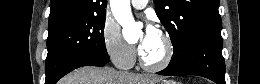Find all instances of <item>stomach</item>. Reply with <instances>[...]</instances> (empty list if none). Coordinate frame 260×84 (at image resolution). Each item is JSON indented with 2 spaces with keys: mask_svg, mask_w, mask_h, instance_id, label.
<instances>
[{
  "mask_svg": "<svg viewBox=\"0 0 260 84\" xmlns=\"http://www.w3.org/2000/svg\"><path fill=\"white\" fill-rule=\"evenodd\" d=\"M158 84H179V83L172 81V80H164V81H162L161 83H158Z\"/></svg>",
  "mask_w": 260,
  "mask_h": 84,
  "instance_id": "0dacf381",
  "label": "stomach"
}]
</instances>
